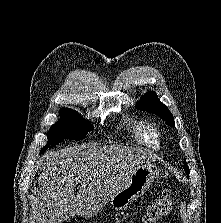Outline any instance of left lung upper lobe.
Wrapping results in <instances>:
<instances>
[{
	"mask_svg": "<svg viewBox=\"0 0 221 223\" xmlns=\"http://www.w3.org/2000/svg\"><path fill=\"white\" fill-rule=\"evenodd\" d=\"M136 108L148 111L158 115L161 119L165 120L170 126H174V119L169 109L159 101L157 94L154 92H148L143 95L140 101L136 104ZM184 170L189 176V168L184 160Z\"/></svg>",
	"mask_w": 221,
	"mask_h": 223,
	"instance_id": "1",
	"label": "left lung upper lobe"
}]
</instances>
